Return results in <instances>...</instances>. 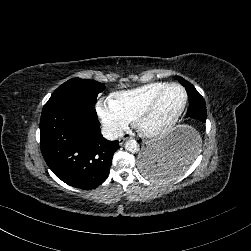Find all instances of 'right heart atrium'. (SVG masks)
I'll list each match as a JSON object with an SVG mask.
<instances>
[{"label":"right heart atrium","mask_w":251,"mask_h":251,"mask_svg":"<svg viewBox=\"0 0 251 251\" xmlns=\"http://www.w3.org/2000/svg\"><path fill=\"white\" fill-rule=\"evenodd\" d=\"M95 109L107 132L113 137H121L137 122V118L129 114L114 95L99 98Z\"/></svg>","instance_id":"obj_1"}]
</instances>
